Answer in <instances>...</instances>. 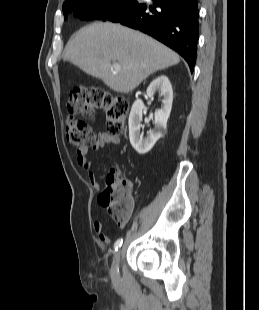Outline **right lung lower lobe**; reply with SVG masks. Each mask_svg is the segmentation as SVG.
I'll return each instance as SVG.
<instances>
[{"label":"right lung lower lobe","instance_id":"98d812e1","mask_svg":"<svg viewBox=\"0 0 259 310\" xmlns=\"http://www.w3.org/2000/svg\"><path fill=\"white\" fill-rule=\"evenodd\" d=\"M198 0H153L140 4L119 23L151 35L178 52L193 72L197 54Z\"/></svg>","mask_w":259,"mask_h":310}]
</instances>
